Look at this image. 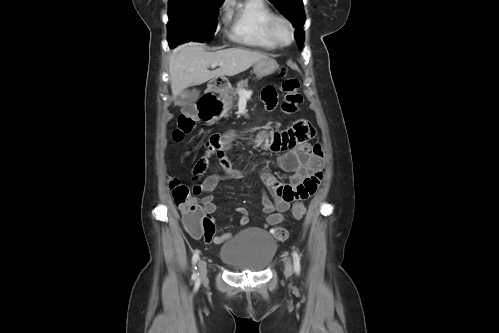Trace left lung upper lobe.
<instances>
[{
	"instance_id": "1",
	"label": "left lung upper lobe",
	"mask_w": 499,
	"mask_h": 333,
	"mask_svg": "<svg viewBox=\"0 0 499 333\" xmlns=\"http://www.w3.org/2000/svg\"><path fill=\"white\" fill-rule=\"evenodd\" d=\"M285 15L296 27L295 38L299 49L303 48V25L305 15L302 0H269Z\"/></svg>"
}]
</instances>
